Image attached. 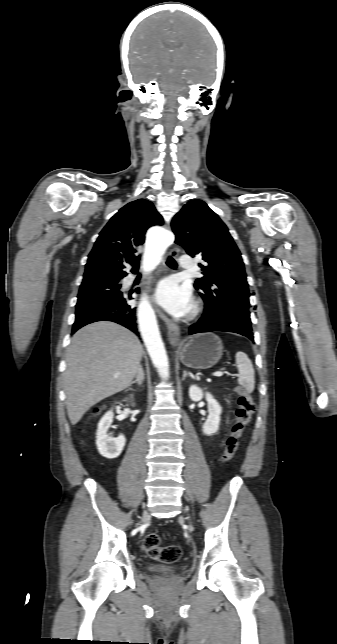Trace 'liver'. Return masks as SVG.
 <instances>
[{"label":"liver","instance_id":"obj_1","mask_svg":"<svg viewBox=\"0 0 337 644\" xmlns=\"http://www.w3.org/2000/svg\"><path fill=\"white\" fill-rule=\"evenodd\" d=\"M143 348L135 334L114 322L78 330L66 354L64 389L72 425L96 403L127 388L140 370Z\"/></svg>","mask_w":337,"mask_h":644}]
</instances>
